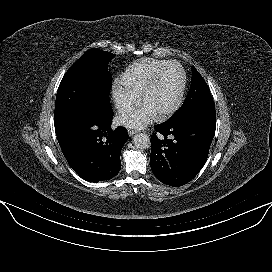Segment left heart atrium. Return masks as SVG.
I'll return each instance as SVG.
<instances>
[{
  "label": "left heart atrium",
  "mask_w": 272,
  "mask_h": 272,
  "mask_svg": "<svg viewBox=\"0 0 272 272\" xmlns=\"http://www.w3.org/2000/svg\"><path fill=\"white\" fill-rule=\"evenodd\" d=\"M157 114L146 104H140L134 110L123 113L119 122L130 128H142L152 122Z\"/></svg>",
  "instance_id": "obj_1"
}]
</instances>
